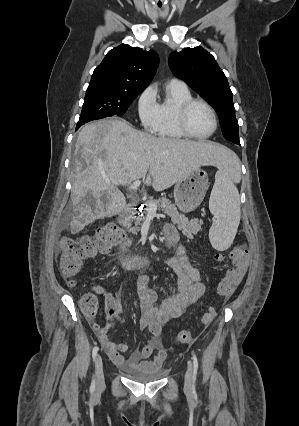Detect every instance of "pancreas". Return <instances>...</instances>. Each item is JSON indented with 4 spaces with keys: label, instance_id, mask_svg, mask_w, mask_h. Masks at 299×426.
I'll list each match as a JSON object with an SVG mask.
<instances>
[{
    "label": "pancreas",
    "instance_id": "obj_1",
    "mask_svg": "<svg viewBox=\"0 0 299 426\" xmlns=\"http://www.w3.org/2000/svg\"><path fill=\"white\" fill-rule=\"evenodd\" d=\"M150 204H156L160 211H163L165 214L170 216L172 222L177 224L178 229L181 230L188 238H192L194 235H197V233L201 230V226L203 224L202 220L193 219L189 221L188 218L178 212L175 204L166 198H161L158 200L150 199L145 202L146 208L142 214L129 218L128 228L133 234H136L140 230V226L146 219V215L149 212L148 209ZM132 223H134L133 227H131Z\"/></svg>",
    "mask_w": 299,
    "mask_h": 426
}]
</instances>
